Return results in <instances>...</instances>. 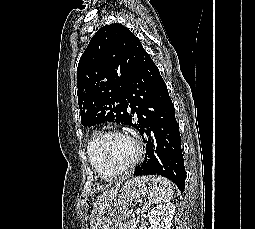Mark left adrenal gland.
<instances>
[{
	"label": "left adrenal gland",
	"instance_id": "left-adrenal-gland-1",
	"mask_svg": "<svg viewBox=\"0 0 255 229\" xmlns=\"http://www.w3.org/2000/svg\"><path fill=\"white\" fill-rule=\"evenodd\" d=\"M149 206H150V204H148V203H145V204H144V206H143V208H142V214H143L144 212L147 211V209H148Z\"/></svg>",
	"mask_w": 255,
	"mask_h": 229
}]
</instances>
